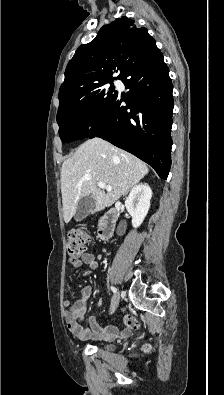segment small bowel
Returning <instances> with one entry per match:
<instances>
[{
  "label": "small bowel",
  "mask_w": 224,
  "mask_h": 395,
  "mask_svg": "<svg viewBox=\"0 0 224 395\" xmlns=\"http://www.w3.org/2000/svg\"><path fill=\"white\" fill-rule=\"evenodd\" d=\"M82 264H86L89 270L83 275L87 276L98 267V261L92 253H84L81 260L73 263L74 267H81ZM92 295V288L90 286H85L80 291V298L74 303L66 300L63 305L66 308L64 312L65 322L69 331L77 338L81 340L88 339H115L120 337H126L129 332L126 329L120 330L117 326L107 325L102 327L96 320L94 316L89 317L88 327H84L81 322L87 311L88 302Z\"/></svg>",
  "instance_id": "c3829d8e"
}]
</instances>
